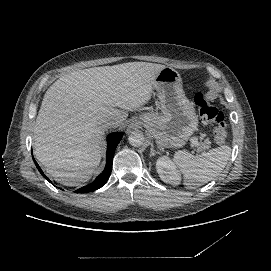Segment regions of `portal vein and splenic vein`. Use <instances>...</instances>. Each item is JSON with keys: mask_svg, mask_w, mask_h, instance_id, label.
Wrapping results in <instances>:
<instances>
[{"mask_svg": "<svg viewBox=\"0 0 271 271\" xmlns=\"http://www.w3.org/2000/svg\"><path fill=\"white\" fill-rule=\"evenodd\" d=\"M188 143L190 144V146H192L195 149H198V147H199V142L194 137H189Z\"/></svg>", "mask_w": 271, "mask_h": 271, "instance_id": "portal-vein-and-splenic-vein-1", "label": "portal vein and splenic vein"}]
</instances>
